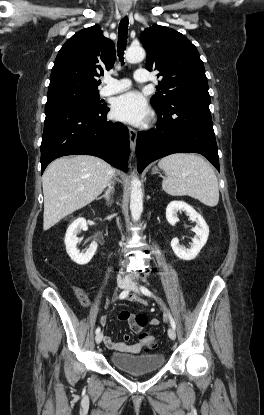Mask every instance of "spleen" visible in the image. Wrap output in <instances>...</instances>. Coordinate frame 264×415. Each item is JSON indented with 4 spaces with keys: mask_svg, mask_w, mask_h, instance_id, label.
Listing matches in <instances>:
<instances>
[{
    "mask_svg": "<svg viewBox=\"0 0 264 415\" xmlns=\"http://www.w3.org/2000/svg\"><path fill=\"white\" fill-rule=\"evenodd\" d=\"M162 188L172 196H190L214 207L219 201L218 181L212 167L196 154L176 153L162 158Z\"/></svg>",
    "mask_w": 264,
    "mask_h": 415,
    "instance_id": "obj_1",
    "label": "spleen"
}]
</instances>
